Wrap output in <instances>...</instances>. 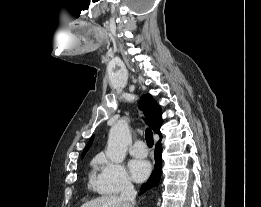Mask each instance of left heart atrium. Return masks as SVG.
Here are the masks:
<instances>
[{
    "label": "left heart atrium",
    "mask_w": 261,
    "mask_h": 207,
    "mask_svg": "<svg viewBox=\"0 0 261 207\" xmlns=\"http://www.w3.org/2000/svg\"><path fill=\"white\" fill-rule=\"evenodd\" d=\"M129 169L133 180L136 182L146 180L151 172L150 163L141 159L131 160L129 163Z\"/></svg>",
    "instance_id": "obj_1"
}]
</instances>
